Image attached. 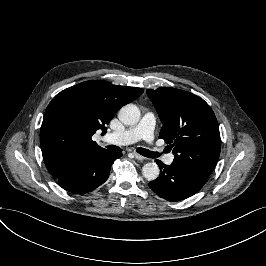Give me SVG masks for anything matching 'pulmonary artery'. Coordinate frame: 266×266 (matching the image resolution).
<instances>
[{"label": "pulmonary artery", "mask_w": 266, "mask_h": 266, "mask_svg": "<svg viewBox=\"0 0 266 266\" xmlns=\"http://www.w3.org/2000/svg\"><path fill=\"white\" fill-rule=\"evenodd\" d=\"M154 116L151 112L146 111L140 118V123L137 126L129 127L123 131L109 132L106 135V140L115 144H130L133 141L139 142L144 137L146 140L151 141L153 139V132L150 131L153 124ZM174 155L169 154L165 159V163L171 164L173 162Z\"/></svg>", "instance_id": "1"}]
</instances>
